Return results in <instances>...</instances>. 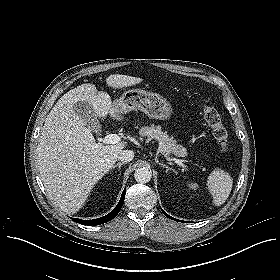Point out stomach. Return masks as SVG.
<instances>
[{"label": "stomach", "mask_w": 280, "mask_h": 280, "mask_svg": "<svg viewBox=\"0 0 280 280\" xmlns=\"http://www.w3.org/2000/svg\"><path fill=\"white\" fill-rule=\"evenodd\" d=\"M116 101L126 111L140 110L153 119L168 120L172 114L171 104L166 98L140 89L128 90Z\"/></svg>", "instance_id": "obj_1"}]
</instances>
